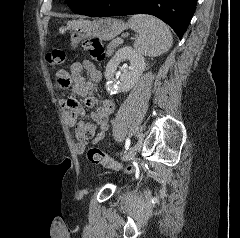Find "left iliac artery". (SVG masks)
I'll return each mask as SVG.
<instances>
[{
	"instance_id": "1",
	"label": "left iliac artery",
	"mask_w": 240,
	"mask_h": 238,
	"mask_svg": "<svg viewBox=\"0 0 240 238\" xmlns=\"http://www.w3.org/2000/svg\"><path fill=\"white\" fill-rule=\"evenodd\" d=\"M138 136H139L138 132L132 133L131 139H132L133 144H131L129 147L126 148V150H124V152H123L124 155H129V153H131L132 150H135L137 148V146H140V144H141L140 141H137Z\"/></svg>"
}]
</instances>
